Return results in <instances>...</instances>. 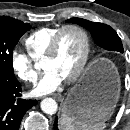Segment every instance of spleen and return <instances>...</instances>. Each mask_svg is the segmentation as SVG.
<instances>
[{
	"instance_id": "3e777b00",
	"label": "spleen",
	"mask_w": 130,
	"mask_h": 130,
	"mask_svg": "<svg viewBox=\"0 0 130 130\" xmlns=\"http://www.w3.org/2000/svg\"><path fill=\"white\" fill-rule=\"evenodd\" d=\"M106 127L105 122L87 124L81 121H77L65 114L60 118V129L61 130H103Z\"/></svg>"
}]
</instances>
